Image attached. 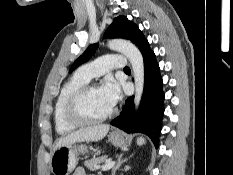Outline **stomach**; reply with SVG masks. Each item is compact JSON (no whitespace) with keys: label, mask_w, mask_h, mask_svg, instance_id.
<instances>
[{"label":"stomach","mask_w":233,"mask_h":175,"mask_svg":"<svg viewBox=\"0 0 233 175\" xmlns=\"http://www.w3.org/2000/svg\"><path fill=\"white\" fill-rule=\"evenodd\" d=\"M109 141L117 147L127 144V137L118 131H114L108 136ZM87 152L86 145H66L53 150L50 167L54 175H69L77 165V154Z\"/></svg>","instance_id":"1"}]
</instances>
